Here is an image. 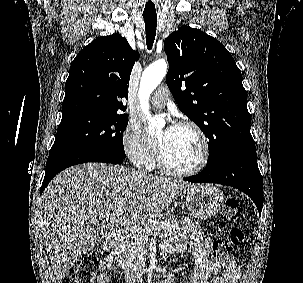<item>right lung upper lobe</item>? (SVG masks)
I'll return each mask as SVG.
<instances>
[{"label": "right lung upper lobe", "instance_id": "obj_1", "mask_svg": "<svg viewBox=\"0 0 303 283\" xmlns=\"http://www.w3.org/2000/svg\"><path fill=\"white\" fill-rule=\"evenodd\" d=\"M138 58L139 53L118 34L92 41L71 63L62 117L81 112L121 115L120 111L126 109L130 74Z\"/></svg>", "mask_w": 303, "mask_h": 283}]
</instances>
